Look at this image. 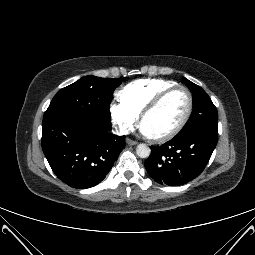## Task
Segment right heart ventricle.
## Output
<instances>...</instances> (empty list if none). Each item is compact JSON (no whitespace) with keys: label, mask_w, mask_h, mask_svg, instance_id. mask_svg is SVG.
<instances>
[{"label":"right heart ventricle","mask_w":255,"mask_h":255,"mask_svg":"<svg viewBox=\"0 0 255 255\" xmlns=\"http://www.w3.org/2000/svg\"><path fill=\"white\" fill-rule=\"evenodd\" d=\"M174 85L175 82L164 79L136 80L125 86L120 96L121 100L140 114L159 93Z\"/></svg>","instance_id":"obj_1"}]
</instances>
